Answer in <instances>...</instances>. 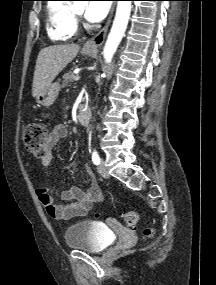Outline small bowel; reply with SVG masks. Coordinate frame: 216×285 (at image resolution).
Instances as JSON below:
<instances>
[{"instance_id": "1", "label": "small bowel", "mask_w": 216, "mask_h": 285, "mask_svg": "<svg viewBox=\"0 0 216 285\" xmlns=\"http://www.w3.org/2000/svg\"><path fill=\"white\" fill-rule=\"evenodd\" d=\"M68 136V130L64 125H56L47 140L48 154L42 160V165L47 167L51 161L50 150L62 139ZM89 187L83 190L79 187H71L63 193V199L66 204L60 205L55 202L49 193L48 187H43L37 190V195L45 207L48 215L57 220H69L75 217L85 216L92 205L102 199V191L96 184V179L93 172L86 167Z\"/></svg>"}]
</instances>
